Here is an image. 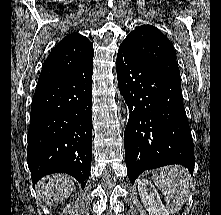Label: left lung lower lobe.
<instances>
[{
	"mask_svg": "<svg viewBox=\"0 0 221 215\" xmlns=\"http://www.w3.org/2000/svg\"><path fill=\"white\" fill-rule=\"evenodd\" d=\"M118 86L129 107L124 132L127 175L181 164L194 170V147L177 82L137 59L125 48L117 54Z\"/></svg>",
	"mask_w": 221,
	"mask_h": 215,
	"instance_id": "1",
	"label": "left lung lower lobe"
}]
</instances>
